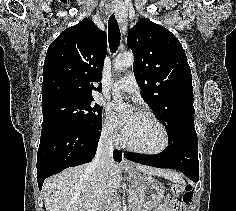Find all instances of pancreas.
<instances>
[{
	"label": "pancreas",
	"mask_w": 236,
	"mask_h": 211,
	"mask_svg": "<svg viewBox=\"0 0 236 211\" xmlns=\"http://www.w3.org/2000/svg\"><path fill=\"white\" fill-rule=\"evenodd\" d=\"M129 198L133 199V201L130 204L131 211H144L137 192L129 193ZM115 211H120V210L116 208Z\"/></svg>",
	"instance_id": "1"
}]
</instances>
